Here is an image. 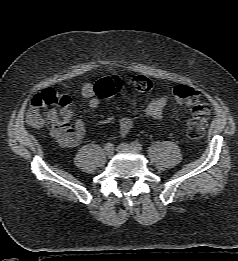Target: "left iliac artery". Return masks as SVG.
Returning a JSON list of instances; mask_svg holds the SVG:
<instances>
[{"mask_svg": "<svg viewBox=\"0 0 238 261\" xmlns=\"http://www.w3.org/2000/svg\"><path fill=\"white\" fill-rule=\"evenodd\" d=\"M131 145L135 148L136 151H142L143 147L138 142H132Z\"/></svg>", "mask_w": 238, "mask_h": 261, "instance_id": "1", "label": "left iliac artery"}]
</instances>
